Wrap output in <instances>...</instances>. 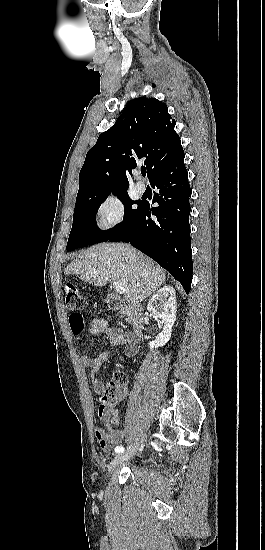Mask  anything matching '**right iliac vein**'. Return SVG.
Returning <instances> with one entry per match:
<instances>
[{
  "mask_svg": "<svg viewBox=\"0 0 265 550\" xmlns=\"http://www.w3.org/2000/svg\"><path fill=\"white\" fill-rule=\"evenodd\" d=\"M146 439V435H143L142 440L144 441ZM134 448L131 447L126 453H120L115 456V458L111 461L108 472L115 469L119 464L127 461L130 457L133 456Z\"/></svg>",
  "mask_w": 265,
  "mask_h": 550,
  "instance_id": "1",
  "label": "right iliac vein"
}]
</instances>
